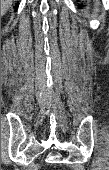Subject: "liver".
I'll list each match as a JSON object with an SVG mask.
<instances>
[{
    "mask_svg": "<svg viewBox=\"0 0 109 170\" xmlns=\"http://www.w3.org/2000/svg\"><path fill=\"white\" fill-rule=\"evenodd\" d=\"M12 4V0H2L1 1V8H2V15H4L7 11V9Z\"/></svg>",
    "mask_w": 109,
    "mask_h": 170,
    "instance_id": "liver-1",
    "label": "liver"
}]
</instances>
